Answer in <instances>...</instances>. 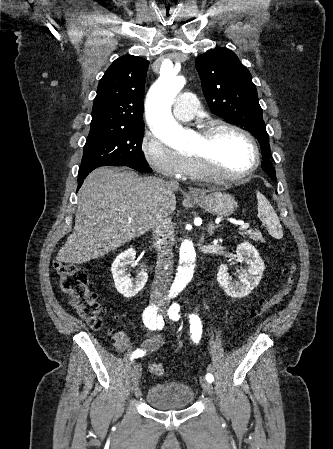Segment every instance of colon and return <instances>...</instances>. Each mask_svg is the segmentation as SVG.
Returning a JSON list of instances; mask_svg holds the SVG:
<instances>
[{
    "label": "colon",
    "instance_id": "1",
    "mask_svg": "<svg viewBox=\"0 0 333 449\" xmlns=\"http://www.w3.org/2000/svg\"><path fill=\"white\" fill-rule=\"evenodd\" d=\"M54 269L59 288L70 297V302L77 313L92 329H100L104 318V310L99 304L96 294L88 288L86 273L73 264L61 261L54 263ZM295 271L296 265L293 261L286 264L283 268V274L286 278L284 285L274 296L259 301L260 308L251 313L252 319L263 317L288 296L294 281ZM149 369L155 375H161L164 371L161 363H152Z\"/></svg>",
    "mask_w": 333,
    "mask_h": 449
}]
</instances>
